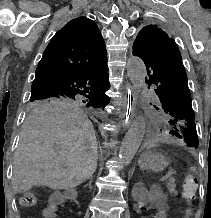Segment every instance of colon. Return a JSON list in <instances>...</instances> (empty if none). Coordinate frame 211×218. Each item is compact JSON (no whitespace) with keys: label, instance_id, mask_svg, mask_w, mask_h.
Instances as JSON below:
<instances>
[{"label":"colon","instance_id":"obj_1","mask_svg":"<svg viewBox=\"0 0 211 218\" xmlns=\"http://www.w3.org/2000/svg\"><path fill=\"white\" fill-rule=\"evenodd\" d=\"M24 195L21 198L23 206L30 207L36 203L35 195L30 191L28 185H23ZM197 190V180L193 177H188L183 186V197L186 201H191Z\"/></svg>","mask_w":211,"mask_h":218}]
</instances>
